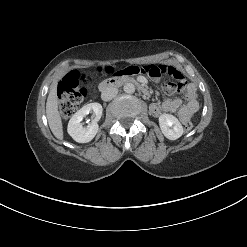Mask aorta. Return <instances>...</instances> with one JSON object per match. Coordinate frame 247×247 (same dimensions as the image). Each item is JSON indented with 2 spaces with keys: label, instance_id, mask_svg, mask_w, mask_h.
<instances>
[{
  "label": "aorta",
  "instance_id": "aorta-1",
  "mask_svg": "<svg viewBox=\"0 0 247 247\" xmlns=\"http://www.w3.org/2000/svg\"><path fill=\"white\" fill-rule=\"evenodd\" d=\"M123 89L128 94H132L135 92V86L132 83L125 84Z\"/></svg>",
  "mask_w": 247,
  "mask_h": 247
}]
</instances>
